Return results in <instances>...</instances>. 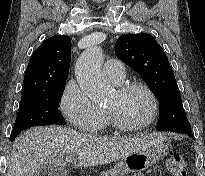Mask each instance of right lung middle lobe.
I'll return each instance as SVG.
<instances>
[{"mask_svg":"<svg viewBox=\"0 0 205 176\" xmlns=\"http://www.w3.org/2000/svg\"><path fill=\"white\" fill-rule=\"evenodd\" d=\"M64 85L22 96L10 136L11 141L21 131L30 127L52 124L65 125L61 112L58 110Z\"/></svg>","mask_w":205,"mask_h":176,"instance_id":"dd1d6c3e","label":"right lung middle lobe"}]
</instances>
